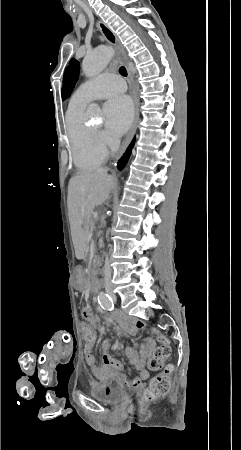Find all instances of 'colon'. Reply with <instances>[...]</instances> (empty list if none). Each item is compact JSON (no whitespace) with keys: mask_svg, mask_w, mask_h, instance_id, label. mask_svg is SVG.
Returning a JSON list of instances; mask_svg holds the SVG:
<instances>
[{"mask_svg":"<svg viewBox=\"0 0 241 450\" xmlns=\"http://www.w3.org/2000/svg\"><path fill=\"white\" fill-rule=\"evenodd\" d=\"M97 337L93 333L92 327H85L79 331V341L84 343V349L91 351L93 346L97 342ZM170 354L168 346L161 345L153 355V370H159L162 367L163 361ZM172 364H167L163 373L157 375L149 383L146 389L143 391L141 401L145 404L158 401L162 399L168 392L170 387V371L173 370Z\"/></svg>","mask_w":241,"mask_h":450,"instance_id":"1","label":"colon"}]
</instances>
